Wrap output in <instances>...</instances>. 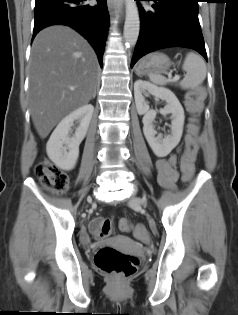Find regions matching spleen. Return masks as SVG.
Returning a JSON list of instances; mask_svg holds the SVG:
<instances>
[{
  "label": "spleen",
  "instance_id": "obj_1",
  "mask_svg": "<svg viewBox=\"0 0 238 315\" xmlns=\"http://www.w3.org/2000/svg\"><path fill=\"white\" fill-rule=\"evenodd\" d=\"M182 69L186 72L184 79L179 83L182 89H194L201 85L206 78V63L200 55L194 52L186 55ZM149 79L157 85H166L168 82L165 77L157 74H149Z\"/></svg>",
  "mask_w": 238,
  "mask_h": 315
}]
</instances>
